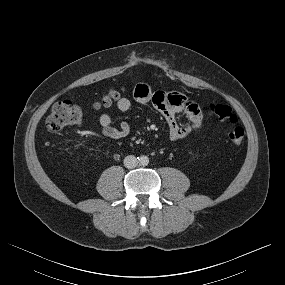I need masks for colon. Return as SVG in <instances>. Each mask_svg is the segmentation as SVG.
Returning <instances> with one entry per match:
<instances>
[{
  "label": "colon",
  "mask_w": 285,
  "mask_h": 285,
  "mask_svg": "<svg viewBox=\"0 0 285 285\" xmlns=\"http://www.w3.org/2000/svg\"><path fill=\"white\" fill-rule=\"evenodd\" d=\"M120 92L116 89H110L102 95L96 102V107L110 106L114 101L118 100ZM209 113L220 121L229 123L230 130L228 133L229 140L239 145L245 136V129L239 123L237 116L232 112L231 108L226 105L212 104L209 107ZM83 117L82 109L79 105L69 100L59 101L55 103L46 119V127L50 131H59L62 128L78 124Z\"/></svg>",
  "instance_id": "1"
}]
</instances>
